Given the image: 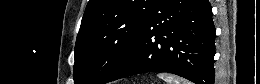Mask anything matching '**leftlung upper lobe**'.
<instances>
[{
  "label": "left lung upper lobe",
  "mask_w": 260,
  "mask_h": 84,
  "mask_svg": "<svg viewBox=\"0 0 260 84\" xmlns=\"http://www.w3.org/2000/svg\"><path fill=\"white\" fill-rule=\"evenodd\" d=\"M156 0H90L75 45V84H105L140 36Z\"/></svg>",
  "instance_id": "5c2ea615"
}]
</instances>
